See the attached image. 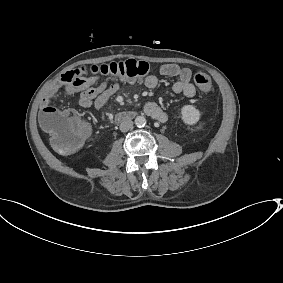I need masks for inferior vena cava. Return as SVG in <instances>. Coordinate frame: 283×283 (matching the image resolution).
Instances as JSON below:
<instances>
[{
  "label": "inferior vena cava",
  "instance_id": "obj_1",
  "mask_svg": "<svg viewBox=\"0 0 283 283\" xmlns=\"http://www.w3.org/2000/svg\"><path fill=\"white\" fill-rule=\"evenodd\" d=\"M132 127H133V121L131 120H125L120 124V130L122 132H127Z\"/></svg>",
  "mask_w": 283,
  "mask_h": 283
}]
</instances>
